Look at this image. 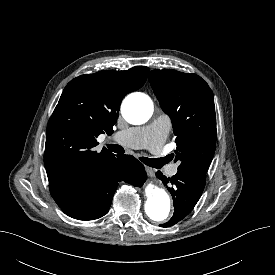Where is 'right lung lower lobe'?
Here are the masks:
<instances>
[{
  "label": "right lung lower lobe",
  "instance_id": "obj_1",
  "mask_svg": "<svg viewBox=\"0 0 275 275\" xmlns=\"http://www.w3.org/2000/svg\"><path fill=\"white\" fill-rule=\"evenodd\" d=\"M146 177L143 164L136 158L117 155L106 160L101 169L84 177L72 195L58 206L72 218L94 220L108 212L118 182L141 187Z\"/></svg>",
  "mask_w": 275,
  "mask_h": 275
}]
</instances>
